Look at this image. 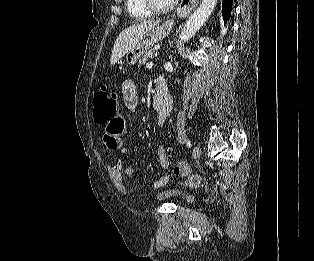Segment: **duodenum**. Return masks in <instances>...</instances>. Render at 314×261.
Segmentation results:
<instances>
[{
    "instance_id": "duodenum-1",
    "label": "duodenum",
    "mask_w": 314,
    "mask_h": 261,
    "mask_svg": "<svg viewBox=\"0 0 314 261\" xmlns=\"http://www.w3.org/2000/svg\"><path fill=\"white\" fill-rule=\"evenodd\" d=\"M171 107V97L162 79L157 80L156 93L153 97V108L158 116H162Z\"/></svg>"
}]
</instances>
